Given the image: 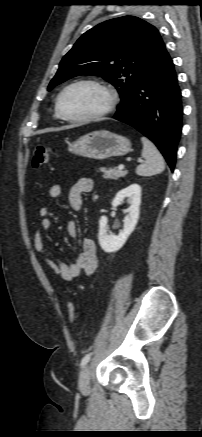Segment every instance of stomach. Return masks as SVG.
Here are the masks:
<instances>
[{
	"label": "stomach",
	"instance_id": "stomach-1",
	"mask_svg": "<svg viewBox=\"0 0 202 437\" xmlns=\"http://www.w3.org/2000/svg\"><path fill=\"white\" fill-rule=\"evenodd\" d=\"M131 150L128 138L106 130L88 133L75 142L68 143L69 152L95 160L123 156Z\"/></svg>",
	"mask_w": 202,
	"mask_h": 437
}]
</instances>
